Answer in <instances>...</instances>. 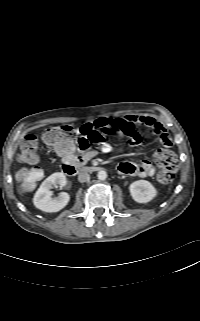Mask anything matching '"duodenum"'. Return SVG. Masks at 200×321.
Instances as JSON below:
<instances>
[{
    "label": "duodenum",
    "instance_id": "410a0bca",
    "mask_svg": "<svg viewBox=\"0 0 200 321\" xmlns=\"http://www.w3.org/2000/svg\"><path fill=\"white\" fill-rule=\"evenodd\" d=\"M101 170L99 166H85L83 164H66L63 166L62 171L66 175H76L78 173H94Z\"/></svg>",
    "mask_w": 200,
    "mask_h": 321
}]
</instances>
